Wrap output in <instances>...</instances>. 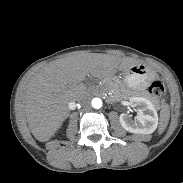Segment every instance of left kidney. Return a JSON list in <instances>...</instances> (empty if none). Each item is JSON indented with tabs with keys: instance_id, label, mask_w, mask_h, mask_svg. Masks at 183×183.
I'll return each instance as SVG.
<instances>
[{
	"instance_id": "5707ae66",
	"label": "left kidney",
	"mask_w": 183,
	"mask_h": 183,
	"mask_svg": "<svg viewBox=\"0 0 183 183\" xmlns=\"http://www.w3.org/2000/svg\"><path fill=\"white\" fill-rule=\"evenodd\" d=\"M130 104L138 108L134 120L127 113L119 117L121 126L128 132L136 134H151L158 126V114L152 102L143 97H131Z\"/></svg>"
}]
</instances>
